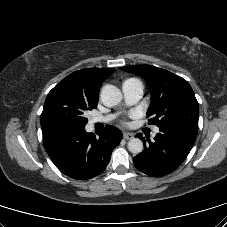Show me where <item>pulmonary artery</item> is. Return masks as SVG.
Instances as JSON below:
<instances>
[{
  "mask_svg": "<svg viewBox=\"0 0 227 227\" xmlns=\"http://www.w3.org/2000/svg\"><path fill=\"white\" fill-rule=\"evenodd\" d=\"M144 86L141 81L135 78L127 79L122 85V91L126 104L133 105L138 102L143 95ZM114 118L113 115L100 116L92 119L91 123L108 122ZM159 132V128L154 129V135Z\"/></svg>",
  "mask_w": 227,
  "mask_h": 227,
  "instance_id": "e3ab8cb5",
  "label": "pulmonary artery"
}]
</instances>
